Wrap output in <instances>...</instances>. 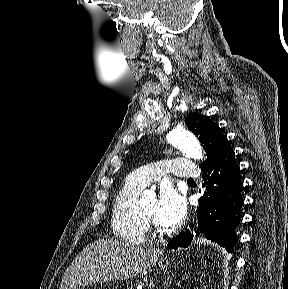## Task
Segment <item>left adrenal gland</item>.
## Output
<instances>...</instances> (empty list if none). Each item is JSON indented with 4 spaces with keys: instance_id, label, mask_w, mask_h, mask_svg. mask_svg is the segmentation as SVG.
Segmentation results:
<instances>
[{
    "instance_id": "a2214340",
    "label": "left adrenal gland",
    "mask_w": 288,
    "mask_h": 289,
    "mask_svg": "<svg viewBox=\"0 0 288 289\" xmlns=\"http://www.w3.org/2000/svg\"><path fill=\"white\" fill-rule=\"evenodd\" d=\"M171 280V279H170ZM170 283V282H169ZM169 283H166V287L165 288H168V286H169Z\"/></svg>"
}]
</instances>
